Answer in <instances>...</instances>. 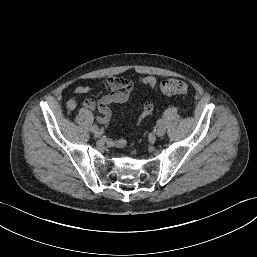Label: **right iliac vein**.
Instances as JSON below:
<instances>
[{
	"label": "right iliac vein",
	"instance_id": "63e3f726",
	"mask_svg": "<svg viewBox=\"0 0 257 257\" xmlns=\"http://www.w3.org/2000/svg\"><path fill=\"white\" fill-rule=\"evenodd\" d=\"M94 135L96 137H101L103 135V131L101 129H97L95 132H94Z\"/></svg>",
	"mask_w": 257,
	"mask_h": 257
}]
</instances>
